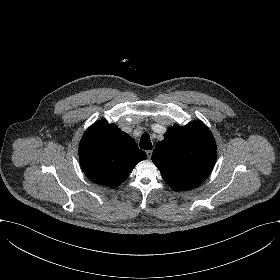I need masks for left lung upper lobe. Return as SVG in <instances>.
Wrapping results in <instances>:
<instances>
[{
	"instance_id": "1",
	"label": "left lung upper lobe",
	"mask_w": 280,
	"mask_h": 280,
	"mask_svg": "<svg viewBox=\"0 0 280 280\" xmlns=\"http://www.w3.org/2000/svg\"><path fill=\"white\" fill-rule=\"evenodd\" d=\"M217 155L214 137L201 121L168 128L152 161L174 190L199 186L212 171Z\"/></svg>"
}]
</instances>
